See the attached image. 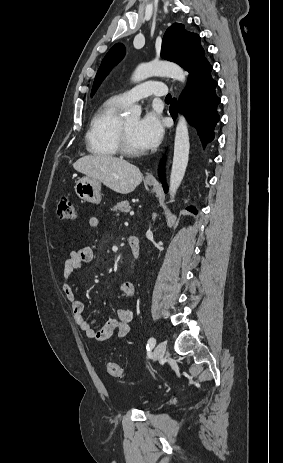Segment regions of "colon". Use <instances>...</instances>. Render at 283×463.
I'll return each mask as SVG.
<instances>
[{"label":"colon","instance_id":"obj_1","mask_svg":"<svg viewBox=\"0 0 283 463\" xmlns=\"http://www.w3.org/2000/svg\"><path fill=\"white\" fill-rule=\"evenodd\" d=\"M58 217L61 220H74L76 218L75 205L69 197H62L58 205ZM107 373L115 378L122 377V368L115 362H108L106 364Z\"/></svg>","mask_w":283,"mask_h":463}]
</instances>
